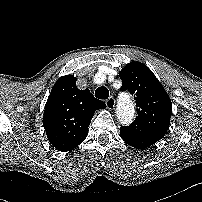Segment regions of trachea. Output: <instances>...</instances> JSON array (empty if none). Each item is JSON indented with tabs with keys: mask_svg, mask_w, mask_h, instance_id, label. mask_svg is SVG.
I'll list each match as a JSON object with an SVG mask.
<instances>
[{
	"mask_svg": "<svg viewBox=\"0 0 202 202\" xmlns=\"http://www.w3.org/2000/svg\"><path fill=\"white\" fill-rule=\"evenodd\" d=\"M95 97L98 99H107L109 97V90L106 87H99L95 91Z\"/></svg>",
	"mask_w": 202,
	"mask_h": 202,
	"instance_id": "1",
	"label": "trachea"
}]
</instances>
